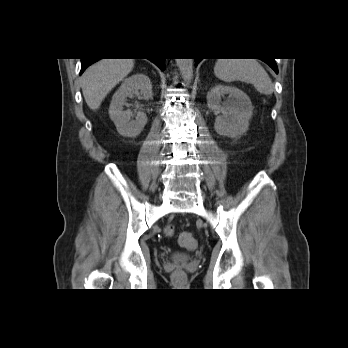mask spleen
Instances as JSON below:
<instances>
[{"mask_svg":"<svg viewBox=\"0 0 348 348\" xmlns=\"http://www.w3.org/2000/svg\"><path fill=\"white\" fill-rule=\"evenodd\" d=\"M215 76L227 83L239 80L252 84L264 95L274 91L272 81L256 59H218L214 66Z\"/></svg>","mask_w":348,"mask_h":348,"instance_id":"3e777b00","label":"spleen"}]
</instances>
